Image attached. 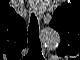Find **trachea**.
I'll return each mask as SVG.
<instances>
[{
	"mask_svg": "<svg viewBox=\"0 0 80 60\" xmlns=\"http://www.w3.org/2000/svg\"><path fill=\"white\" fill-rule=\"evenodd\" d=\"M28 44L29 54L32 56H42L41 43L39 39V26L34 13L31 15L30 24L28 28Z\"/></svg>",
	"mask_w": 80,
	"mask_h": 60,
	"instance_id": "obj_1",
	"label": "trachea"
}]
</instances>
